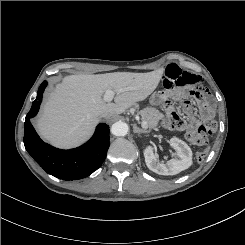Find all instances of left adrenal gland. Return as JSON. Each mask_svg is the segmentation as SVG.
Instances as JSON below:
<instances>
[{
    "instance_id": "a2214340",
    "label": "left adrenal gland",
    "mask_w": 245,
    "mask_h": 245,
    "mask_svg": "<svg viewBox=\"0 0 245 245\" xmlns=\"http://www.w3.org/2000/svg\"><path fill=\"white\" fill-rule=\"evenodd\" d=\"M133 132L137 133L138 135H140L142 133H144V134L149 133V131L140 129L139 127H137V125H133Z\"/></svg>"
}]
</instances>
